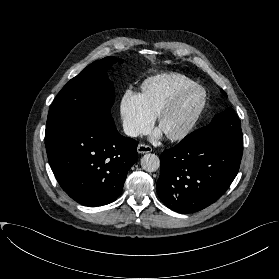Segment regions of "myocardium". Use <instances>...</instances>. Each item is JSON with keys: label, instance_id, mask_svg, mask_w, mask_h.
<instances>
[{"label": "myocardium", "instance_id": "1", "mask_svg": "<svg viewBox=\"0 0 279 279\" xmlns=\"http://www.w3.org/2000/svg\"><path fill=\"white\" fill-rule=\"evenodd\" d=\"M196 91H200L202 93V100L198 108L189 122L181 130L173 133H164L169 140L181 141L192 133L206 108L208 100L207 93L200 85L186 88L178 93L157 115V126L158 128H161L165 119L170 116L190 94Z\"/></svg>", "mask_w": 279, "mask_h": 279}]
</instances>
